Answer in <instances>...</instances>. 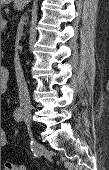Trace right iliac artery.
Segmentation results:
<instances>
[{
  "mask_svg": "<svg viewBox=\"0 0 109 170\" xmlns=\"http://www.w3.org/2000/svg\"><path fill=\"white\" fill-rule=\"evenodd\" d=\"M14 119H15L16 122L22 121V110H21V108H17L14 111Z\"/></svg>",
  "mask_w": 109,
  "mask_h": 170,
  "instance_id": "1",
  "label": "right iliac artery"
}]
</instances>
